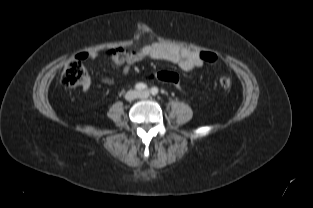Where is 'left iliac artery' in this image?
Segmentation results:
<instances>
[{
	"label": "left iliac artery",
	"instance_id": "1",
	"mask_svg": "<svg viewBox=\"0 0 313 208\" xmlns=\"http://www.w3.org/2000/svg\"><path fill=\"white\" fill-rule=\"evenodd\" d=\"M158 91H159V90H158L157 87H152V88H151V94H152V95H157V94H158Z\"/></svg>",
	"mask_w": 313,
	"mask_h": 208
}]
</instances>
